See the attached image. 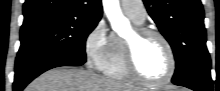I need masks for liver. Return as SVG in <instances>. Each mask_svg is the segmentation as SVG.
<instances>
[{
    "label": "liver",
    "mask_w": 220,
    "mask_h": 91,
    "mask_svg": "<svg viewBox=\"0 0 220 91\" xmlns=\"http://www.w3.org/2000/svg\"><path fill=\"white\" fill-rule=\"evenodd\" d=\"M25 91H136L124 82L76 67L53 68L33 80Z\"/></svg>",
    "instance_id": "1"
}]
</instances>
